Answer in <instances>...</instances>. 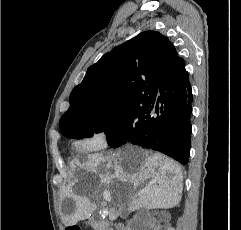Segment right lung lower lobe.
Segmentation results:
<instances>
[{"label":"right lung lower lobe","mask_w":241,"mask_h":230,"mask_svg":"<svg viewBox=\"0 0 241 230\" xmlns=\"http://www.w3.org/2000/svg\"><path fill=\"white\" fill-rule=\"evenodd\" d=\"M192 102L188 72L180 58L163 76L156 95L147 104V125L119 144L130 142L153 149L186 165L191 145Z\"/></svg>","instance_id":"obj_1"}]
</instances>
